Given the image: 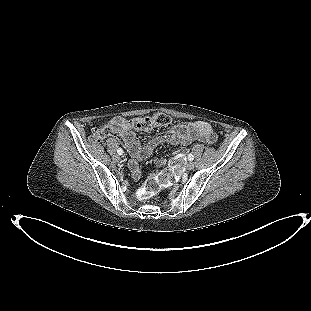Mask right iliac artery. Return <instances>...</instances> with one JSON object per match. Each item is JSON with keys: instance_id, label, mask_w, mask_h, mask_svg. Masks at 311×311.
I'll list each match as a JSON object with an SVG mask.
<instances>
[{"instance_id": "right-iliac-artery-1", "label": "right iliac artery", "mask_w": 311, "mask_h": 311, "mask_svg": "<svg viewBox=\"0 0 311 311\" xmlns=\"http://www.w3.org/2000/svg\"><path fill=\"white\" fill-rule=\"evenodd\" d=\"M117 153H118L119 155H122V154H123V150H122L121 148H119V149L117 150Z\"/></svg>"}]
</instances>
